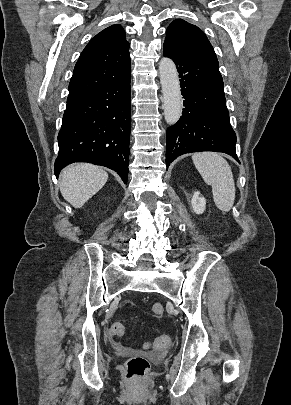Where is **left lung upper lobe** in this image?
I'll use <instances>...</instances> for the list:
<instances>
[{
	"mask_svg": "<svg viewBox=\"0 0 291 405\" xmlns=\"http://www.w3.org/2000/svg\"><path fill=\"white\" fill-rule=\"evenodd\" d=\"M164 43L190 54L217 59L205 33L182 19H176L169 25Z\"/></svg>",
	"mask_w": 291,
	"mask_h": 405,
	"instance_id": "obj_1",
	"label": "left lung upper lobe"
}]
</instances>
